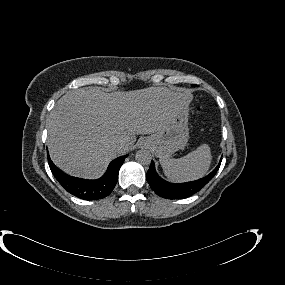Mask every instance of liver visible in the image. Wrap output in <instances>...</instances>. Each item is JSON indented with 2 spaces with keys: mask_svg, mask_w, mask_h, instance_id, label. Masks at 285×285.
Returning a JSON list of instances; mask_svg holds the SVG:
<instances>
[{
  "mask_svg": "<svg viewBox=\"0 0 285 285\" xmlns=\"http://www.w3.org/2000/svg\"><path fill=\"white\" fill-rule=\"evenodd\" d=\"M192 96L167 87L105 93L98 87L67 92L47 120L53 162L81 177L100 176L109 162L129 151L138 134L162 129ZM123 142L121 148L117 144Z\"/></svg>",
  "mask_w": 285,
  "mask_h": 285,
  "instance_id": "obj_1",
  "label": "liver"
}]
</instances>
